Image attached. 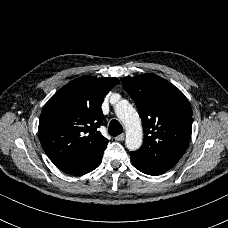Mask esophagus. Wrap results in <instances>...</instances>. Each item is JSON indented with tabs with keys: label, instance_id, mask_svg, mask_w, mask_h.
<instances>
[{
	"label": "esophagus",
	"instance_id": "esophagus-1",
	"mask_svg": "<svg viewBox=\"0 0 228 228\" xmlns=\"http://www.w3.org/2000/svg\"><path fill=\"white\" fill-rule=\"evenodd\" d=\"M124 138H125V134H124V133H122V134H120V135L116 136V137H115V140H116V141H123V140H124Z\"/></svg>",
	"mask_w": 228,
	"mask_h": 228
}]
</instances>
